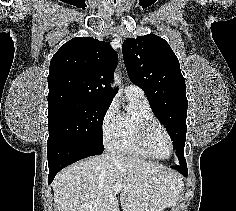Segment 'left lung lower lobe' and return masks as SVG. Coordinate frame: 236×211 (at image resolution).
I'll use <instances>...</instances> for the list:
<instances>
[{
	"instance_id": "1",
	"label": "left lung lower lobe",
	"mask_w": 236,
	"mask_h": 211,
	"mask_svg": "<svg viewBox=\"0 0 236 211\" xmlns=\"http://www.w3.org/2000/svg\"><path fill=\"white\" fill-rule=\"evenodd\" d=\"M173 169L177 170L180 172L182 175L187 176L188 171H187V165L186 164H180L178 166H171Z\"/></svg>"
}]
</instances>
